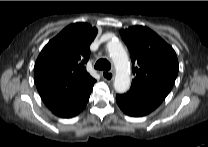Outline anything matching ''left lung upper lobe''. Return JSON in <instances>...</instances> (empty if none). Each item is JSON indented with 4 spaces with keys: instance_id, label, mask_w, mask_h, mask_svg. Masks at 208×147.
<instances>
[{
    "instance_id": "left-lung-upper-lobe-1",
    "label": "left lung upper lobe",
    "mask_w": 208,
    "mask_h": 147,
    "mask_svg": "<svg viewBox=\"0 0 208 147\" xmlns=\"http://www.w3.org/2000/svg\"><path fill=\"white\" fill-rule=\"evenodd\" d=\"M130 53L135 78L131 87L165 97L178 74V60L173 48L144 26L120 31Z\"/></svg>"
}]
</instances>
